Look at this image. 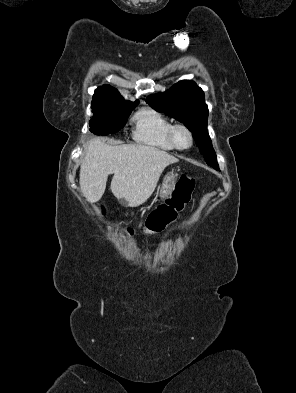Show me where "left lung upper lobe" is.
Returning a JSON list of instances; mask_svg holds the SVG:
<instances>
[{
    "label": "left lung upper lobe",
    "mask_w": 296,
    "mask_h": 393,
    "mask_svg": "<svg viewBox=\"0 0 296 393\" xmlns=\"http://www.w3.org/2000/svg\"><path fill=\"white\" fill-rule=\"evenodd\" d=\"M146 102L183 123L191 132L206 163L219 170L217 157L207 131L208 107L204 92L195 82L184 80L162 94L150 95Z\"/></svg>",
    "instance_id": "left-lung-upper-lobe-1"
}]
</instances>
